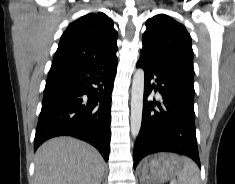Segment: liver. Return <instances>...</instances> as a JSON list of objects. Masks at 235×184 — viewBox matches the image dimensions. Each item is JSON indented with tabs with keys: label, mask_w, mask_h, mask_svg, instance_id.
I'll return each mask as SVG.
<instances>
[{
	"label": "liver",
	"mask_w": 235,
	"mask_h": 184,
	"mask_svg": "<svg viewBox=\"0 0 235 184\" xmlns=\"http://www.w3.org/2000/svg\"><path fill=\"white\" fill-rule=\"evenodd\" d=\"M103 174L99 152L75 138H52L35 154V184H101Z\"/></svg>",
	"instance_id": "liver-1"
}]
</instances>
